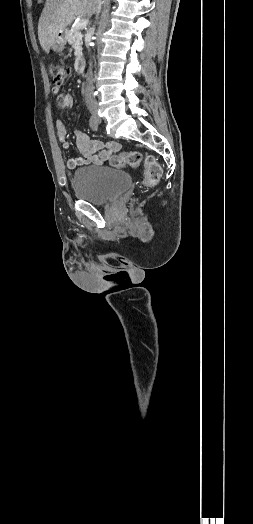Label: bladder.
Returning <instances> with one entry per match:
<instances>
[{
    "mask_svg": "<svg viewBox=\"0 0 253 524\" xmlns=\"http://www.w3.org/2000/svg\"><path fill=\"white\" fill-rule=\"evenodd\" d=\"M129 185L127 172L107 166H87L76 170L72 176L76 197L97 206L116 199Z\"/></svg>",
    "mask_w": 253,
    "mask_h": 524,
    "instance_id": "bladder-1",
    "label": "bladder"
}]
</instances>
